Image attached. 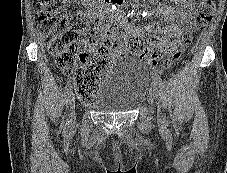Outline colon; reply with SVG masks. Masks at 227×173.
Instances as JSON below:
<instances>
[{"label":"colon","instance_id":"colon-1","mask_svg":"<svg viewBox=\"0 0 227 173\" xmlns=\"http://www.w3.org/2000/svg\"><path fill=\"white\" fill-rule=\"evenodd\" d=\"M68 1L33 0L36 24L56 66L65 74L73 75L79 97L89 101L110 64L109 52L99 43L116 32L117 23L69 12L64 8ZM215 8L216 0H200V26L212 20ZM191 41L190 35H183L166 57L163 52H166L167 41L161 35H153L147 40L135 37L130 40L129 46L147 66L169 68L182 56L183 47ZM89 50H93L92 55Z\"/></svg>","mask_w":227,"mask_h":173}]
</instances>
